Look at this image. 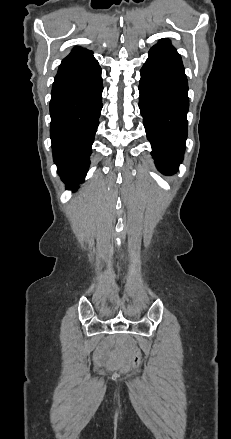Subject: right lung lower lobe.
I'll use <instances>...</instances> for the list:
<instances>
[{
  "mask_svg": "<svg viewBox=\"0 0 231 439\" xmlns=\"http://www.w3.org/2000/svg\"><path fill=\"white\" fill-rule=\"evenodd\" d=\"M102 78L92 56L58 71L51 92L50 136L57 172L76 189L89 168V156L102 109Z\"/></svg>",
  "mask_w": 231,
  "mask_h": 439,
  "instance_id": "right-lung-lower-lobe-1",
  "label": "right lung lower lobe"
}]
</instances>
